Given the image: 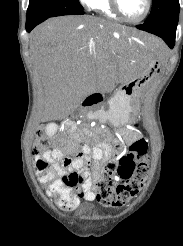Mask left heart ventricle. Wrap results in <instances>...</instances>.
Here are the masks:
<instances>
[{
	"mask_svg": "<svg viewBox=\"0 0 183 246\" xmlns=\"http://www.w3.org/2000/svg\"><path fill=\"white\" fill-rule=\"evenodd\" d=\"M120 5L128 18L136 19L144 13L146 2L145 0H120Z\"/></svg>",
	"mask_w": 183,
	"mask_h": 246,
	"instance_id": "left-heart-ventricle-1",
	"label": "left heart ventricle"
}]
</instances>
